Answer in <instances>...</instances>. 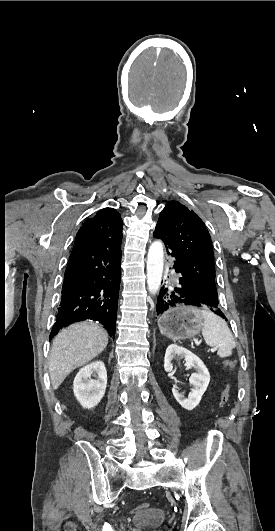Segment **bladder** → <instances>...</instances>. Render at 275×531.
<instances>
[{
    "instance_id": "bladder-1",
    "label": "bladder",
    "mask_w": 275,
    "mask_h": 531,
    "mask_svg": "<svg viewBox=\"0 0 275 531\" xmlns=\"http://www.w3.org/2000/svg\"><path fill=\"white\" fill-rule=\"evenodd\" d=\"M165 518L166 511L152 505L135 514V521L138 523L137 531H156V526L163 524Z\"/></svg>"
}]
</instances>
